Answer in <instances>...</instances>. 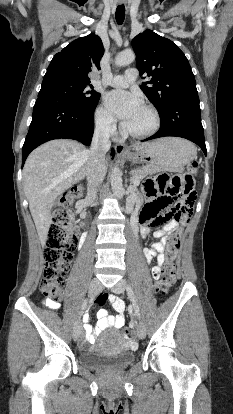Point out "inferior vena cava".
Segmentation results:
<instances>
[{
  "label": "inferior vena cava",
  "instance_id": "1",
  "mask_svg": "<svg viewBox=\"0 0 233 414\" xmlns=\"http://www.w3.org/2000/svg\"><path fill=\"white\" fill-rule=\"evenodd\" d=\"M110 134L109 122L98 125L94 131L86 165L87 198L90 200L96 198L97 186L102 183L107 172L105 154L111 147Z\"/></svg>",
  "mask_w": 233,
  "mask_h": 414
}]
</instances>
